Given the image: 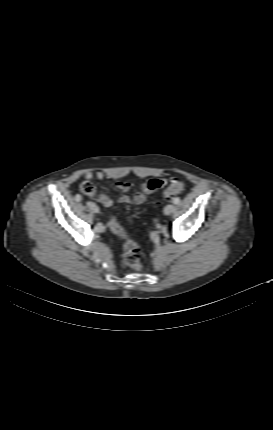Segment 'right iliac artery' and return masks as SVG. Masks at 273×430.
Segmentation results:
<instances>
[{
    "label": "right iliac artery",
    "instance_id": "obj_1",
    "mask_svg": "<svg viewBox=\"0 0 273 430\" xmlns=\"http://www.w3.org/2000/svg\"><path fill=\"white\" fill-rule=\"evenodd\" d=\"M75 199H76V201H80L81 200V196L79 195V194H77L76 196H75Z\"/></svg>",
    "mask_w": 273,
    "mask_h": 430
}]
</instances>
